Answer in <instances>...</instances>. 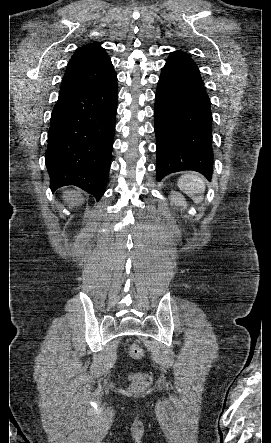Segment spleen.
Listing matches in <instances>:
<instances>
[{"label": "spleen", "instance_id": "spleen-1", "mask_svg": "<svg viewBox=\"0 0 271 443\" xmlns=\"http://www.w3.org/2000/svg\"><path fill=\"white\" fill-rule=\"evenodd\" d=\"M178 188L185 192L189 198L194 200L195 204H201L203 200V192H205V182L200 174H185L181 176L177 182Z\"/></svg>", "mask_w": 271, "mask_h": 443}]
</instances>
